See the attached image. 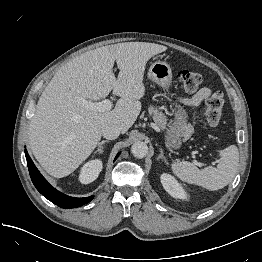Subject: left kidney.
Listing matches in <instances>:
<instances>
[{
    "label": "left kidney",
    "mask_w": 262,
    "mask_h": 262,
    "mask_svg": "<svg viewBox=\"0 0 262 262\" xmlns=\"http://www.w3.org/2000/svg\"><path fill=\"white\" fill-rule=\"evenodd\" d=\"M161 183L164 189L174 198L185 199L186 194L178 182L167 173L161 175Z\"/></svg>",
    "instance_id": "1"
}]
</instances>
